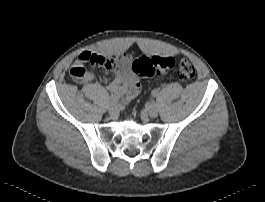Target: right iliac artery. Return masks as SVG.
<instances>
[{
  "mask_svg": "<svg viewBox=\"0 0 265 202\" xmlns=\"http://www.w3.org/2000/svg\"><path fill=\"white\" fill-rule=\"evenodd\" d=\"M118 100H119V97H118V96L112 95V96H110V98H109V103H110V105H111V104H113V103H116Z\"/></svg>",
  "mask_w": 265,
  "mask_h": 202,
  "instance_id": "1",
  "label": "right iliac artery"
}]
</instances>
